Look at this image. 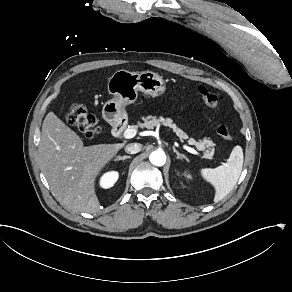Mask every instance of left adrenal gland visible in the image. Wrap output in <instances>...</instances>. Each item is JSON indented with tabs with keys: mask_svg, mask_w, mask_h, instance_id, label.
I'll return each instance as SVG.
<instances>
[{
	"mask_svg": "<svg viewBox=\"0 0 292 292\" xmlns=\"http://www.w3.org/2000/svg\"><path fill=\"white\" fill-rule=\"evenodd\" d=\"M173 150H174V152L177 154V159L185 160V161L188 162V159H187L184 155L180 154V153L175 149V147H173Z\"/></svg>",
	"mask_w": 292,
	"mask_h": 292,
	"instance_id": "left-adrenal-gland-1",
	"label": "left adrenal gland"
}]
</instances>
